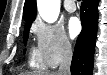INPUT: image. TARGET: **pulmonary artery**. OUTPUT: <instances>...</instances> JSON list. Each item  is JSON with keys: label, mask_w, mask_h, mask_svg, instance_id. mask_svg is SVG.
Instances as JSON below:
<instances>
[{"label": "pulmonary artery", "mask_w": 107, "mask_h": 75, "mask_svg": "<svg viewBox=\"0 0 107 75\" xmlns=\"http://www.w3.org/2000/svg\"><path fill=\"white\" fill-rule=\"evenodd\" d=\"M64 7L68 12L76 11V4H75L74 0H65Z\"/></svg>", "instance_id": "obj_1"}]
</instances>
